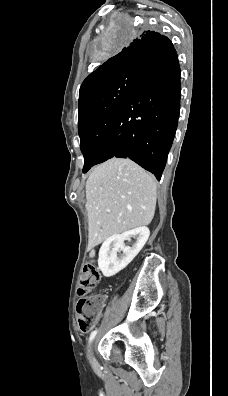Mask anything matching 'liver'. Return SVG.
Wrapping results in <instances>:
<instances>
[{
  "mask_svg": "<svg viewBox=\"0 0 228 396\" xmlns=\"http://www.w3.org/2000/svg\"><path fill=\"white\" fill-rule=\"evenodd\" d=\"M156 189L153 176L129 159L112 158L95 167L86 182L89 247L149 225Z\"/></svg>",
  "mask_w": 228,
  "mask_h": 396,
  "instance_id": "1",
  "label": "liver"
}]
</instances>
